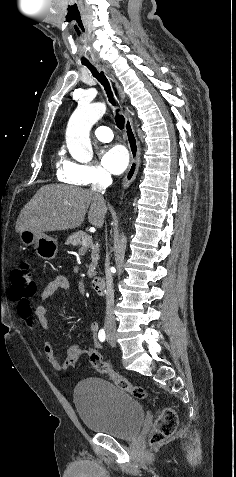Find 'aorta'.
<instances>
[{
	"instance_id": "aorta-1",
	"label": "aorta",
	"mask_w": 236,
	"mask_h": 477,
	"mask_svg": "<svg viewBox=\"0 0 236 477\" xmlns=\"http://www.w3.org/2000/svg\"><path fill=\"white\" fill-rule=\"evenodd\" d=\"M106 111L104 103L81 104L69 119L66 142L71 154L81 160L89 161L93 157L89 138L90 130Z\"/></svg>"
}]
</instances>
